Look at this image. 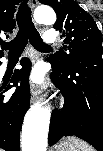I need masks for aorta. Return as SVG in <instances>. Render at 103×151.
<instances>
[{
	"label": "aorta",
	"mask_w": 103,
	"mask_h": 151,
	"mask_svg": "<svg viewBox=\"0 0 103 151\" xmlns=\"http://www.w3.org/2000/svg\"><path fill=\"white\" fill-rule=\"evenodd\" d=\"M34 19L39 24H54L56 14L47 6H40L34 11ZM50 109L36 103L27 112L22 127V151H46L50 124Z\"/></svg>",
	"instance_id": "1"
}]
</instances>
